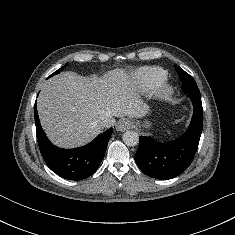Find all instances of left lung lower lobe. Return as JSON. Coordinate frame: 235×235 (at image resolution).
Returning <instances> with one entry per match:
<instances>
[{"instance_id":"1","label":"left lung lower lobe","mask_w":235,"mask_h":235,"mask_svg":"<svg viewBox=\"0 0 235 235\" xmlns=\"http://www.w3.org/2000/svg\"><path fill=\"white\" fill-rule=\"evenodd\" d=\"M190 85L187 81L182 83L183 91L194 106V114L186 133L167 143H158L151 137H139L135 161L138 167L152 178H174L185 171L193 161L202 133L203 108L200 93L194 92Z\"/></svg>"}]
</instances>
